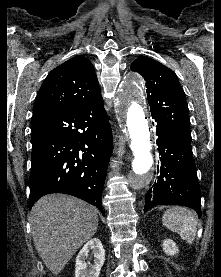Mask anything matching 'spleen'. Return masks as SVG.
Instances as JSON below:
<instances>
[{
    "mask_svg": "<svg viewBox=\"0 0 221 277\" xmlns=\"http://www.w3.org/2000/svg\"><path fill=\"white\" fill-rule=\"evenodd\" d=\"M162 223L189 244L193 243L197 232V218L193 211L183 207L170 208L163 214Z\"/></svg>",
    "mask_w": 221,
    "mask_h": 277,
    "instance_id": "3e777b00",
    "label": "spleen"
}]
</instances>
